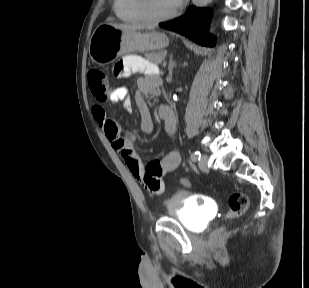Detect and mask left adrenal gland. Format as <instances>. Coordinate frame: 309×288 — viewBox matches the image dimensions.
I'll use <instances>...</instances> for the list:
<instances>
[{
    "label": "left adrenal gland",
    "mask_w": 309,
    "mask_h": 288,
    "mask_svg": "<svg viewBox=\"0 0 309 288\" xmlns=\"http://www.w3.org/2000/svg\"><path fill=\"white\" fill-rule=\"evenodd\" d=\"M176 65V62L173 61V54L170 55L169 65H168V73L169 76L172 77L173 68Z\"/></svg>",
    "instance_id": "1"
}]
</instances>
